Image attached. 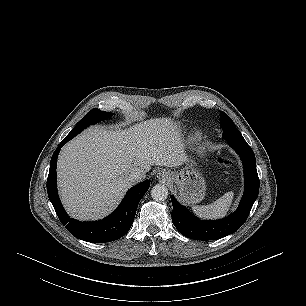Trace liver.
Masks as SVG:
<instances>
[{
	"instance_id": "6515ba94",
	"label": "liver",
	"mask_w": 306,
	"mask_h": 306,
	"mask_svg": "<svg viewBox=\"0 0 306 306\" xmlns=\"http://www.w3.org/2000/svg\"><path fill=\"white\" fill-rule=\"evenodd\" d=\"M186 160L180 130L169 119H150L127 130L90 128L61 150L59 193L71 217L98 219L111 212L132 186V170L177 167Z\"/></svg>"
}]
</instances>
